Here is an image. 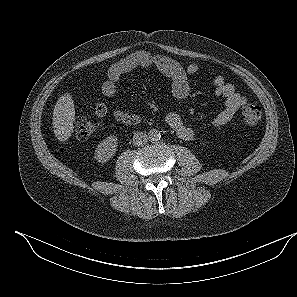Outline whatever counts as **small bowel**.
Returning <instances> with one entry per match:
<instances>
[{
  "instance_id": "small-bowel-1",
  "label": "small bowel",
  "mask_w": 297,
  "mask_h": 297,
  "mask_svg": "<svg viewBox=\"0 0 297 297\" xmlns=\"http://www.w3.org/2000/svg\"><path fill=\"white\" fill-rule=\"evenodd\" d=\"M138 68H155L167 76L172 82V94L178 99H184L189 94V78L199 72L197 63L187 66L181 65L176 60L163 55H156L146 50L136 51L113 64L107 74L106 80L102 84V93L105 97H112L117 92L118 81L127 73ZM215 95L223 98L224 107L214 117L213 127H221L232 120L236 112L246 103V98L236 91L235 87L227 83L222 76L213 79ZM107 105L98 101L95 104V112L98 116L107 114ZM115 119L127 125L136 124L140 121V116L129 114L122 110L113 112ZM167 125L176 135L185 141L193 140L197 133L187 126L178 111H171L166 115Z\"/></svg>"
}]
</instances>
